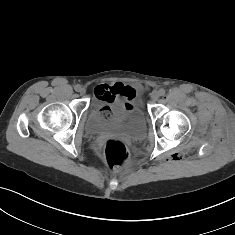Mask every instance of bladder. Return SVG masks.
I'll use <instances>...</instances> for the list:
<instances>
[{"instance_id": "31cf9c89", "label": "bladder", "mask_w": 235, "mask_h": 235, "mask_svg": "<svg viewBox=\"0 0 235 235\" xmlns=\"http://www.w3.org/2000/svg\"><path fill=\"white\" fill-rule=\"evenodd\" d=\"M101 111L102 108L98 103L90 109L86 121L88 133L117 132L131 138H140L145 133V115L137 102L129 105L118 102L112 105L108 117H105Z\"/></svg>"}]
</instances>
